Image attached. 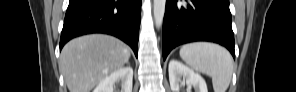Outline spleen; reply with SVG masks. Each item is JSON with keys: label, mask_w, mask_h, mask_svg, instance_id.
I'll return each mask as SVG.
<instances>
[{"label": "spleen", "mask_w": 296, "mask_h": 92, "mask_svg": "<svg viewBox=\"0 0 296 92\" xmlns=\"http://www.w3.org/2000/svg\"><path fill=\"white\" fill-rule=\"evenodd\" d=\"M181 58L195 71L212 78L214 92H226L233 73L229 52L214 43H188L180 49Z\"/></svg>", "instance_id": "obj_1"}]
</instances>
